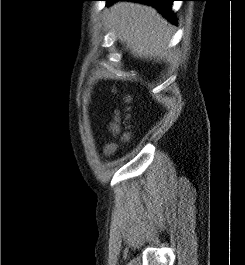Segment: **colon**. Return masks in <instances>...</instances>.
Segmentation results:
<instances>
[{"label": "colon", "mask_w": 245, "mask_h": 265, "mask_svg": "<svg viewBox=\"0 0 245 265\" xmlns=\"http://www.w3.org/2000/svg\"><path fill=\"white\" fill-rule=\"evenodd\" d=\"M126 101H128V99H126ZM121 115L119 112H117L114 115V119L111 123V130L114 134H119L120 129H121ZM122 140H127L128 139V134L127 133H123L121 135ZM117 148V145L115 143H109L106 145L105 147V152L107 153H111L113 151H115V149Z\"/></svg>", "instance_id": "colon-1"}]
</instances>
